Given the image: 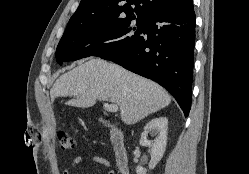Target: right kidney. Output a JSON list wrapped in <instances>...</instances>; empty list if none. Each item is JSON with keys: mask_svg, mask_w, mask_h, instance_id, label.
<instances>
[{"mask_svg": "<svg viewBox=\"0 0 249 174\" xmlns=\"http://www.w3.org/2000/svg\"><path fill=\"white\" fill-rule=\"evenodd\" d=\"M167 128H168V120L166 117H159L152 119L149 123L144 127V131L141 134L140 145L148 146L151 151V160L149 162V169H154L158 162L162 159L166 144H167ZM150 132L154 134H158V137L151 143L147 136ZM147 170L141 166L136 168L137 174H146Z\"/></svg>", "mask_w": 249, "mask_h": 174, "instance_id": "1", "label": "right kidney"}]
</instances>
